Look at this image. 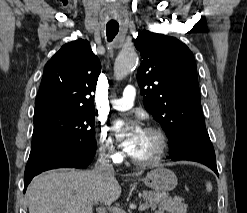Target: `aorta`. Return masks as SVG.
<instances>
[{
  "label": "aorta",
  "mask_w": 247,
  "mask_h": 213,
  "mask_svg": "<svg viewBox=\"0 0 247 213\" xmlns=\"http://www.w3.org/2000/svg\"><path fill=\"white\" fill-rule=\"evenodd\" d=\"M138 63V56L134 51H122L114 66V75L117 80L127 76L132 68Z\"/></svg>",
  "instance_id": "1"
}]
</instances>
